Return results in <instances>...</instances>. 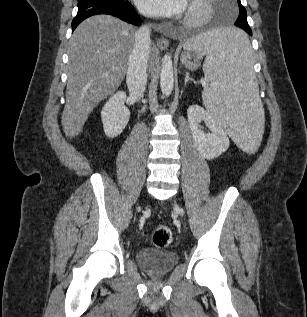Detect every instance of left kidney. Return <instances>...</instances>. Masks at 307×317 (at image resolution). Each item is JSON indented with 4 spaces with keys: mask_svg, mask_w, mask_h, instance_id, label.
Segmentation results:
<instances>
[{
    "mask_svg": "<svg viewBox=\"0 0 307 317\" xmlns=\"http://www.w3.org/2000/svg\"><path fill=\"white\" fill-rule=\"evenodd\" d=\"M187 117L195 146L206 159L216 158L228 149L230 142L225 130L203 107L190 106ZM201 122L206 124L211 133L206 134L201 130Z\"/></svg>",
    "mask_w": 307,
    "mask_h": 317,
    "instance_id": "obj_1",
    "label": "left kidney"
}]
</instances>
